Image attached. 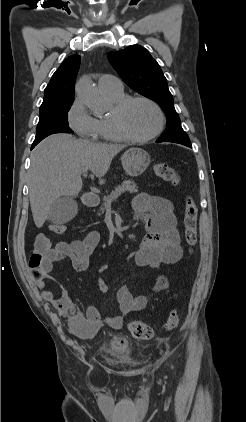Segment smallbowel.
<instances>
[{
  "label": "small bowel",
  "instance_id": "c3829d8e",
  "mask_svg": "<svg viewBox=\"0 0 246 422\" xmlns=\"http://www.w3.org/2000/svg\"><path fill=\"white\" fill-rule=\"evenodd\" d=\"M133 208L135 220L142 227L144 235L139 248L131 252L127 259L133 260L138 267L158 270L159 275L151 289L164 290L169 286V280L161 270L162 265L175 264L183 256L173 204L167 198L140 193L134 199ZM99 241L100 234L90 231L82 240L57 242L48 254L50 266L45 277L35 280L43 299L52 304L59 314L69 318L71 331L86 338L93 336L104 325L116 330L121 329L126 315L143 310L147 304L145 296L133 295L127 286H121L116 292L121 315L106 316L94 306H88L83 313L66 290L56 296L47 289L45 279L52 271L54 263L68 260L74 270L84 271L90 266V255ZM97 287L103 294L108 291V286L102 278L98 279Z\"/></svg>",
  "mask_w": 246,
  "mask_h": 422
}]
</instances>
